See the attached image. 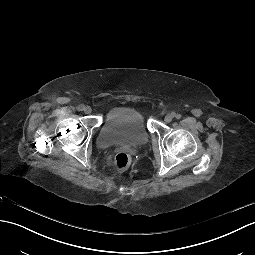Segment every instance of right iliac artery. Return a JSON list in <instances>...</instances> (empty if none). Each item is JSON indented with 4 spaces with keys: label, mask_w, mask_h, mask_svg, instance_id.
I'll list each match as a JSON object with an SVG mask.
<instances>
[{
    "label": "right iliac artery",
    "mask_w": 255,
    "mask_h": 255,
    "mask_svg": "<svg viewBox=\"0 0 255 255\" xmlns=\"http://www.w3.org/2000/svg\"><path fill=\"white\" fill-rule=\"evenodd\" d=\"M84 108H85V107H84V105H83V104H81V105H79V106H78V110H79V111L84 110Z\"/></svg>",
    "instance_id": "obj_1"
}]
</instances>
